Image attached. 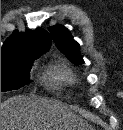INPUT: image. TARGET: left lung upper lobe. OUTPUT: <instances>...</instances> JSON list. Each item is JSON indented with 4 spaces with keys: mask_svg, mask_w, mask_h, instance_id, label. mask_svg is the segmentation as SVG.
<instances>
[{
    "mask_svg": "<svg viewBox=\"0 0 123 130\" xmlns=\"http://www.w3.org/2000/svg\"><path fill=\"white\" fill-rule=\"evenodd\" d=\"M49 31L62 53L75 65L82 64L83 58L80 55L79 44L73 39L71 33L62 25L50 27Z\"/></svg>",
    "mask_w": 123,
    "mask_h": 130,
    "instance_id": "1",
    "label": "left lung upper lobe"
}]
</instances>
